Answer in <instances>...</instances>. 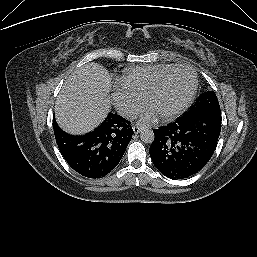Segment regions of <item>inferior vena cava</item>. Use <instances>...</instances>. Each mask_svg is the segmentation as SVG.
<instances>
[{"label":"inferior vena cava","instance_id":"inferior-vena-cava-1","mask_svg":"<svg viewBox=\"0 0 257 257\" xmlns=\"http://www.w3.org/2000/svg\"><path fill=\"white\" fill-rule=\"evenodd\" d=\"M120 114L126 119L134 120L138 115V109L134 107H124L120 111Z\"/></svg>","mask_w":257,"mask_h":257}]
</instances>
